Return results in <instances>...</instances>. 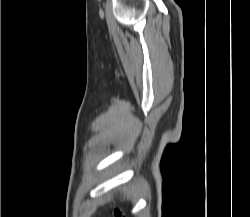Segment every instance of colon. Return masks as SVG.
I'll return each instance as SVG.
<instances>
[{
	"label": "colon",
	"instance_id": "obj_1",
	"mask_svg": "<svg viewBox=\"0 0 250 217\" xmlns=\"http://www.w3.org/2000/svg\"><path fill=\"white\" fill-rule=\"evenodd\" d=\"M112 217H123V213L120 209L115 208L112 212Z\"/></svg>",
	"mask_w": 250,
	"mask_h": 217
}]
</instances>
